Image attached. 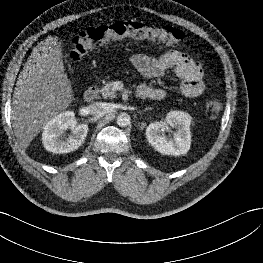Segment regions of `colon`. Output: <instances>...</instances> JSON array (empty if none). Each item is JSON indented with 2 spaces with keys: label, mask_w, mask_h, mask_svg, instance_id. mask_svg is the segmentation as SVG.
I'll use <instances>...</instances> for the list:
<instances>
[{
  "label": "colon",
  "mask_w": 263,
  "mask_h": 263,
  "mask_svg": "<svg viewBox=\"0 0 263 263\" xmlns=\"http://www.w3.org/2000/svg\"><path fill=\"white\" fill-rule=\"evenodd\" d=\"M126 38L152 40L169 46H179L184 42L182 31L171 27H151L139 22H117L81 31L72 39L71 58L78 60L92 49L109 42ZM222 110V103L209 98L205 104L208 117L215 118Z\"/></svg>",
  "instance_id": "colon-1"
}]
</instances>
